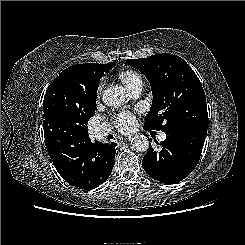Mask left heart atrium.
I'll return each instance as SVG.
<instances>
[{
  "label": "left heart atrium",
  "mask_w": 245,
  "mask_h": 245,
  "mask_svg": "<svg viewBox=\"0 0 245 245\" xmlns=\"http://www.w3.org/2000/svg\"><path fill=\"white\" fill-rule=\"evenodd\" d=\"M117 128L122 132L130 131L135 125V118L128 112H121L114 117Z\"/></svg>",
  "instance_id": "obj_1"
}]
</instances>
